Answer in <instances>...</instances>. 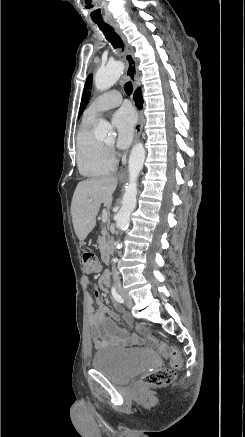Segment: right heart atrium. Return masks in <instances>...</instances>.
I'll return each mask as SVG.
<instances>
[{"instance_id":"right-heart-atrium-1","label":"right heart atrium","mask_w":245,"mask_h":437,"mask_svg":"<svg viewBox=\"0 0 245 437\" xmlns=\"http://www.w3.org/2000/svg\"><path fill=\"white\" fill-rule=\"evenodd\" d=\"M109 155H110L111 159L114 161L113 156L111 154H109Z\"/></svg>"}]
</instances>
